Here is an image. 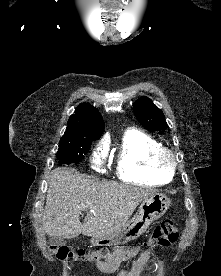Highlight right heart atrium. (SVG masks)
<instances>
[{
	"mask_svg": "<svg viewBox=\"0 0 221 276\" xmlns=\"http://www.w3.org/2000/svg\"><path fill=\"white\" fill-rule=\"evenodd\" d=\"M107 156V150L104 146H99L93 153L91 161L96 168H99Z\"/></svg>",
	"mask_w": 221,
	"mask_h": 276,
	"instance_id": "right-heart-atrium-1",
	"label": "right heart atrium"
}]
</instances>
